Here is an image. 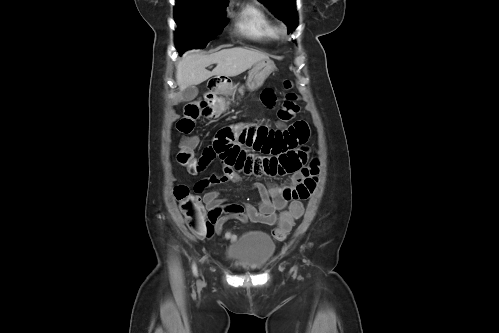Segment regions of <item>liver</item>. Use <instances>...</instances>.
<instances>
[{
	"mask_svg": "<svg viewBox=\"0 0 499 333\" xmlns=\"http://www.w3.org/2000/svg\"><path fill=\"white\" fill-rule=\"evenodd\" d=\"M269 59L268 55L257 50L241 47L222 49L210 55H202L195 50L186 52L176 65V81L179 90L198 85L212 76L234 77L250 69L259 61ZM217 66L209 71L211 64Z\"/></svg>",
	"mask_w": 499,
	"mask_h": 333,
	"instance_id": "1",
	"label": "liver"
}]
</instances>
